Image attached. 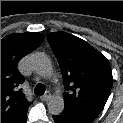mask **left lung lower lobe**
Here are the masks:
<instances>
[{"label": "left lung lower lobe", "instance_id": "0a47b994", "mask_svg": "<svg viewBox=\"0 0 123 123\" xmlns=\"http://www.w3.org/2000/svg\"><path fill=\"white\" fill-rule=\"evenodd\" d=\"M53 119L55 123H81L63 112L59 115H53Z\"/></svg>", "mask_w": 123, "mask_h": 123}]
</instances>
